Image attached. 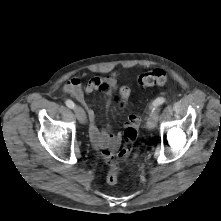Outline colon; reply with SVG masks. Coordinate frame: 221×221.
I'll return each mask as SVG.
<instances>
[{
	"label": "colon",
	"instance_id": "colon-1",
	"mask_svg": "<svg viewBox=\"0 0 221 221\" xmlns=\"http://www.w3.org/2000/svg\"><path fill=\"white\" fill-rule=\"evenodd\" d=\"M139 84L143 87L160 86L166 82V74L162 69H153L139 76ZM130 96V89L126 86L119 90L117 102L122 107ZM138 136V124L128 126L124 132L125 145L117 156H113L108 160L110 165L106 181L108 184L114 185L118 182L120 176L119 160L125 159L131 152L132 146Z\"/></svg>",
	"mask_w": 221,
	"mask_h": 221
}]
</instances>
